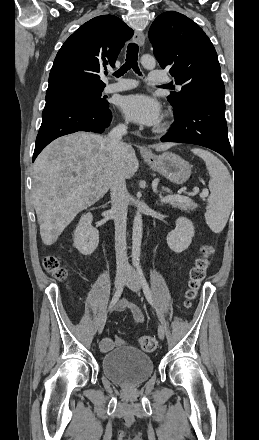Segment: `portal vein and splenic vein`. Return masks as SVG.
I'll return each instance as SVG.
<instances>
[{
    "label": "portal vein and splenic vein",
    "instance_id": "portal-vein-and-splenic-vein-1",
    "mask_svg": "<svg viewBox=\"0 0 259 440\" xmlns=\"http://www.w3.org/2000/svg\"><path fill=\"white\" fill-rule=\"evenodd\" d=\"M199 192V188L195 187L192 192L186 193L187 196L175 194V195H169L162 199V202H171V201H183V202H189L191 199L189 196H194ZM209 194L208 190L204 189L202 191V196L207 197Z\"/></svg>",
    "mask_w": 259,
    "mask_h": 440
}]
</instances>
